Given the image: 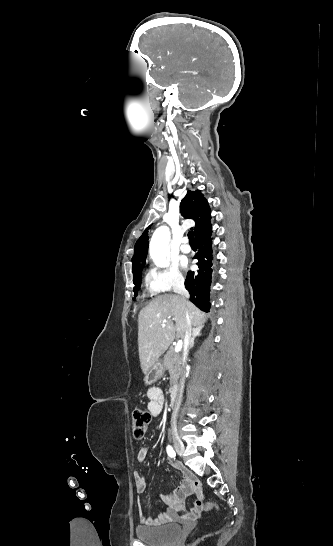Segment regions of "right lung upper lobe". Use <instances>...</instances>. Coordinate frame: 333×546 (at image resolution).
<instances>
[{"label":"right lung upper lobe","mask_w":333,"mask_h":546,"mask_svg":"<svg viewBox=\"0 0 333 546\" xmlns=\"http://www.w3.org/2000/svg\"><path fill=\"white\" fill-rule=\"evenodd\" d=\"M180 209L184 218L195 221V237L211 226V211L207 200L204 198L200 190H188L187 195L181 201ZM148 239L147 228L135 244V253L132 259V270L134 277L139 274V271H141L142 267L145 265L148 251Z\"/></svg>","instance_id":"right-lung-upper-lobe-1"}]
</instances>
